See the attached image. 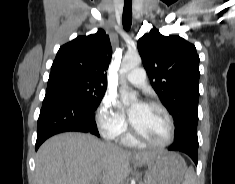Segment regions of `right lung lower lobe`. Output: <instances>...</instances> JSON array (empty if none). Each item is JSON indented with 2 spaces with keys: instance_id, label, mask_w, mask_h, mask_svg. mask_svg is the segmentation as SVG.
I'll return each instance as SVG.
<instances>
[{
  "instance_id": "obj_1",
  "label": "right lung lower lobe",
  "mask_w": 235,
  "mask_h": 184,
  "mask_svg": "<svg viewBox=\"0 0 235 184\" xmlns=\"http://www.w3.org/2000/svg\"><path fill=\"white\" fill-rule=\"evenodd\" d=\"M94 113L59 88L46 90L38 119L36 151L46 139L62 132H85L99 137Z\"/></svg>"
}]
</instances>
